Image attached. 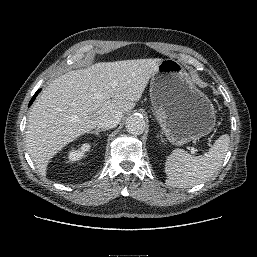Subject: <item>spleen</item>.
I'll return each instance as SVG.
<instances>
[{
    "label": "spleen",
    "mask_w": 257,
    "mask_h": 257,
    "mask_svg": "<svg viewBox=\"0 0 257 257\" xmlns=\"http://www.w3.org/2000/svg\"><path fill=\"white\" fill-rule=\"evenodd\" d=\"M230 137L221 135L208 153L192 156L182 149H175L166 159V184L172 187L189 188L207 181L222 165L229 149Z\"/></svg>",
    "instance_id": "obj_1"
}]
</instances>
